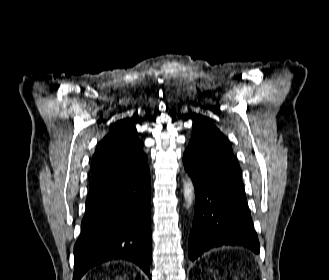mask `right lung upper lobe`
I'll list each match as a JSON object with an SVG mask.
<instances>
[{"label":"right lung upper lobe","mask_w":329,"mask_h":280,"mask_svg":"<svg viewBox=\"0 0 329 280\" xmlns=\"http://www.w3.org/2000/svg\"><path fill=\"white\" fill-rule=\"evenodd\" d=\"M133 122L119 120L97 145L92 159V178L115 171L138 170L148 166Z\"/></svg>","instance_id":"1"}]
</instances>
